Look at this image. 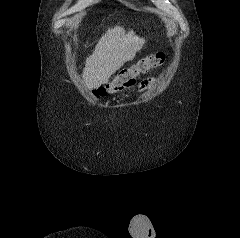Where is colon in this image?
Returning <instances> with one entry per match:
<instances>
[{"label":"colon","instance_id":"colon-1","mask_svg":"<svg viewBox=\"0 0 240 238\" xmlns=\"http://www.w3.org/2000/svg\"><path fill=\"white\" fill-rule=\"evenodd\" d=\"M166 59V54L158 52L141 58L135 64L120 70L112 81L94 90L95 95L105 96L117 93L133 86L136 79L150 70L161 66Z\"/></svg>","mask_w":240,"mask_h":238}]
</instances>
